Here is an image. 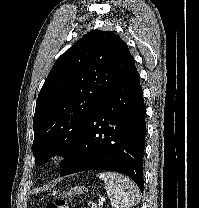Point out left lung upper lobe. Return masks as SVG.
Wrapping results in <instances>:
<instances>
[{"label": "left lung upper lobe", "instance_id": "5c2ea615", "mask_svg": "<svg viewBox=\"0 0 199 208\" xmlns=\"http://www.w3.org/2000/svg\"><path fill=\"white\" fill-rule=\"evenodd\" d=\"M133 64L127 44L112 31H91L60 56L36 103V163L69 158L97 105Z\"/></svg>", "mask_w": 199, "mask_h": 208}]
</instances>
